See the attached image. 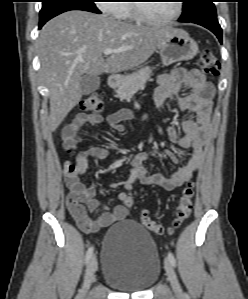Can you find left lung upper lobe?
Segmentation results:
<instances>
[{
  "label": "left lung upper lobe",
  "mask_w": 248,
  "mask_h": 299,
  "mask_svg": "<svg viewBox=\"0 0 248 299\" xmlns=\"http://www.w3.org/2000/svg\"><path fill=\"white\" fill-rule=\"evenodd\" d=\"M180 22H196L202 19H217L213 0H183Z\"/></svg>",
  "instance_id": "5c2ea615"
}]
</instances>
